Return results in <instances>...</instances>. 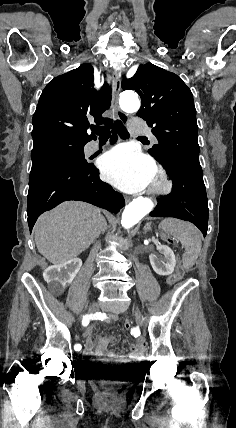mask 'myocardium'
<instances>
[{"instance_id":"obj_1","label":"myocardium","mask_w":236,"mask_h":428,"mask_svg":"<svg viewBox=\"0 0 236 428\" xmlns=\"http://www.w3.org/2000/svg\"><path fill=\"white\" fill-rule=\"evenodd\" d=\"M175 185L171 180L168 171L163 167L154 168V178L151 182L148 193L153 198H163L174 191Z\"/></svg>"}]
</instances>
